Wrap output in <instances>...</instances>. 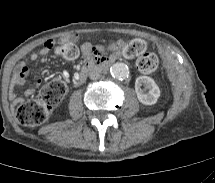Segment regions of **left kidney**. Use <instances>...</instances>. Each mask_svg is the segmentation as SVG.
<instances>
[{
    "instance_id": "1",
    "label": "left kidney",
    "mask_w": 215,
    "mask_h": 183,
    "mask_svg": "<svg viewBox=\"0 0 215 183\" xmlns=\"http://www.w3.org/2000/svg\"><path fill=\"white\" fill-rule=\"evenodd\" d=\"M142 85L146 89H149L148 93H145L141 88ZM135 91L138 100L144 105H153L157 102L160 96V90L155 81L148 76H139L135 81Z\"/></svg>"
}]
</instances>
